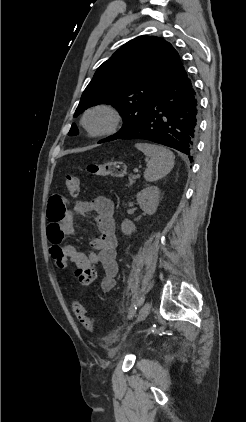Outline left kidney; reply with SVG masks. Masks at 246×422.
<instances>
[{"instance_id": "1", "label": "left kidney", "mask_w": 246, "mask_h": 422, "mask_svg": "<svg viewBox=\"0 0 246 422\" xmlns=\"http://www.w3.org/2000/svg\"><path fill=\"white\" fill-rule=\"evenodd\" d=\"M160 190L157 186H147L136 195V200L140 208L148 215H153L160 200ZM121 231L125 235H130L136 231L134 223L125 219L121 224Z\"/></svg>"}]
</instances>
